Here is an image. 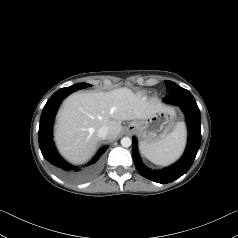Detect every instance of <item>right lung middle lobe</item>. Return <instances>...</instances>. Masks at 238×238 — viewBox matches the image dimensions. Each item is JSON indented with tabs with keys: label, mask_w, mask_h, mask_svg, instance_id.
I'll return each instance as SVG.
<instances>
[{
	"label": "right lung middle lobe",
	"mask_w": 238,
	"mask_h": 238,
	"mask_svg": "<svg viewBox=\"0 0 238 238\" xmlns=\"http://www.w3.org/2000/svg\"><path fill=\"white\" fill-rule=\"evenodd\" d=\"M77 85L80 89L81 88H86V87H90L91 85L90 84H87V83H79V84H75Z\"/></svg>",
	"instance_id": "right-lung-middle-lobe-1"
}]
</instances>
